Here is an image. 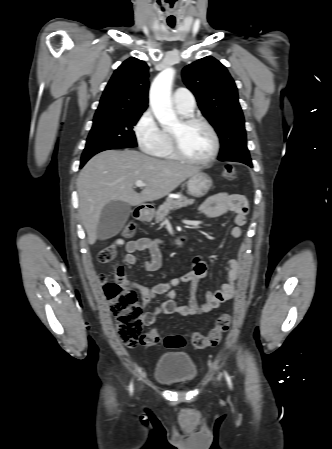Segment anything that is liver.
I'll return each instance as SVG.
<instances>
[{"label": "liver", "mask_w": 332, "mask_h": 449, "mask_svg": "<svg viewBox=\"0 0 332 449\" xmlns=\"http://www.w3.org/2000/svg\"><path fill=\"white\" fill-rule=\"evenodd\" d=\"M199 171L195 166L155 159L135 150H107L95 155L77 179L79 213L88 243L96 242L100 214L109 202L137 206L161 199ZM138 180L146 183L141 193L134 190Z\"/></svg>", "instance_id": "liver-1"}]
</instances>
